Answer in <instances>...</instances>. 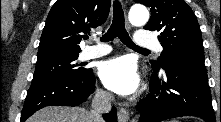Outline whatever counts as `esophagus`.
I'll return each instance as SVG.
<instances>
[{"instance_id":"obj_1","label":"esophagus","mask_w":221,"mask_h":122,"mask_svg":"<svg viewBox=\"0 0 221 122\" xmlns=\"http://www.w3.org/2000/svg\"><path fill=\"white\" fill-rule=\"evenodd\" d=\"M129 112L126 108L120 107L118 109V121L119 122H128Z\"/></svg>"}]
</instances>
